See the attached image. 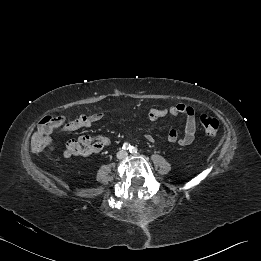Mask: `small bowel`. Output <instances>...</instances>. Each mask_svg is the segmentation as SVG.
<instances>
[{
    "label": "small bowel",
    "instance_id": "c3829d8e",
    "mask_svg": "<svg viewBox=\"0 0 261 261\" xmlns=\"http://www.w3.org/2000/svg\"><path fill=\"white\" fill-rule=\"evenodd\" d=\"M167 115L178 117L180 115L185 116L184 132L180 136L176 130H170L168 133V141L172 144H179L181 146L190 145L196 133V120L194 109L186 104H178L164 109L151 108L148 112V118L151 121L164 118ZM103 118L101 112H95L92 114H82L76 117L74 120L69 121L59 127V131L68 133L80 128L91 127L96 122H99ZM146 139L149 142H154L155 137L153 134H146ZM111 144V140L102 135H81L76 140L70 141L63 152L64 157L69 158L71 156H90L92 154L100 153L106 147Z\"/></svg>",
    "mask_w": 261,
    "mask_h": 261
}]
</instances>
